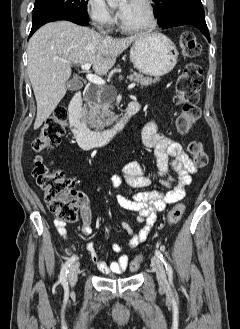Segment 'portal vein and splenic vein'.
<instances>
[{
	"label": "portal vein and splenic vein",
	"mask_w": 240,
	"mask_h": 329,
	"mask_svg": "<svg viewBox=\"0 0 240 329\" xmlns=\"http://www.w3.org/2000/svg\"><path fill=\"white\" fill-rule=\"evenodd\" d=\"M63 62H64V63H70V62H68V61H63ZM90 67H91V64H89V63H85V64H82V65H81L82 70H89ZM86 77H87V79H88L89 82H91V83H93V84H95V85L102 86V85L105 84V81H104L101 77H99V76H97V75H94V74H87ZM134 87H135V83H131V84L128 86V89H132V88H134Z\"/></svg>",
	"instance_id": "obj_1"
}]
</instances>
